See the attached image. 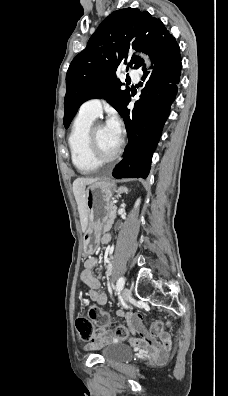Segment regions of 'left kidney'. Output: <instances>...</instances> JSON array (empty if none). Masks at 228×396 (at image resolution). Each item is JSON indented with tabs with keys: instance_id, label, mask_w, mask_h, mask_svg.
Here are the masks:
<instances>
[{
	"instance_id": "obj_1",
	"label": "left kidney",
	"mask_w": 228,
	"mask_h": 396,
	"mask_svg": "<svg viewBox=\"0 0 228 396\" xmlns=\"http://www.w3.org/2000/svg\"><path fill=\"white\" fill-rule=\"evenodd\" d=\"M140 200L138 199L135 206L137 207L139 205Z\"/></svg>"
}]
</instances>
